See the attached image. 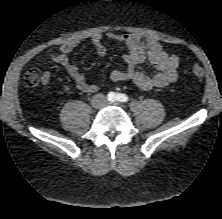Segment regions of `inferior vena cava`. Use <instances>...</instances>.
<instances>
[{
    "label": "inferior vena cava",
    "mask_w": 222,
    "mask_h": 219,
    "mask_svg": "<svg viewBox=\"0 0 222 219\" xmlns=\"http://www.w3.org/2000/svg\"><path fill=\"white\" fill-rule=\"evenodd\" d=\"M93 102L94 104L99 102V105H102L106 102V100L103 94H97L93 97Z\"/></svg>",
    "instance_id": "602c4592"
}]
</instances>
